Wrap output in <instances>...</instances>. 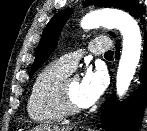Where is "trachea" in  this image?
Segmentation results:
<instances>
[{
  "instance_id": "trachea-1",
  "label": "trachea",
  "mask_w": 147,
  "mask_h": 131,
  "mask_svg": "<svg viewBox=\"0 0 147 131\" xmlns=\"http://www.w3.org/2000/svg\"><path fill=\"white\" fill-rule=\"evenodd\" d=\"M113 51H107L106 53H105V57L106 58H112L113 57Z\"/></svg>"
}]
</instances>
